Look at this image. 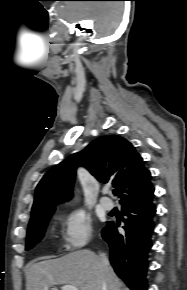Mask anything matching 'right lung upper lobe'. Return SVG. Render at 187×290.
<instances>
[{"label": "right lung upper lobe", "mask_w": 187, "mask_h": 290, "mask_svg": "<svg viewBox=\"0 0 187 290\" xmlns=\"http://www.w3.org/2000/svg\"><path fill=\"white\" fill-rule=\"evenodd\" d=\"M142 157L126 139L112 135L91 142L80 153L69 156L49 170L36 188L31 221L55 210L68 200L77 166L83 165L100 182H111L120 193V204L140 203L153 196L151 174Z\"/></svg>", "instance_id": "right-lung-upper-lobe-1"}]
</instances>
